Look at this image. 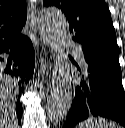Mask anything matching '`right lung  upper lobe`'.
<instances>
[{"instance_id":"right-lung-upper-lobe-1","label":"right lung upper lobe","mask_w":125,"mask_h":128,"mask_svg":"<svg viewBox=\"0 0 125 128\" xmlns=\"http://www.w3.org/2000/svg\"><path fill=\"white\" fill-rule=\"evenodd\" d=\"M25 0H0V47L21 38L26 23Z\"/></svg>"}]
</instances>
